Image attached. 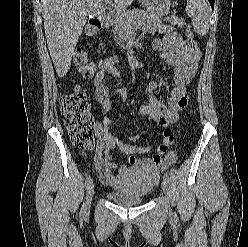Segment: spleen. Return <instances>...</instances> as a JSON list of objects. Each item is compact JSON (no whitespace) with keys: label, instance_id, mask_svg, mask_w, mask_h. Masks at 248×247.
I'll return each mask as SVG.
<instances>
[{"label":"spleen","instance_id":"spleen-1","mask_svg":"<svg viewBox=\"0 0 248 247\" xmlns=\"http://www.w3.org/2000/svg\"><path fill=\"white\" fill-rule=\"evenodd\" d=\"M186 13L192 19L194 31L206 35L209 30L210 8L205 0H187Z\"/></svg>","mask_w":248,"mask_h":247}]
</instances>
